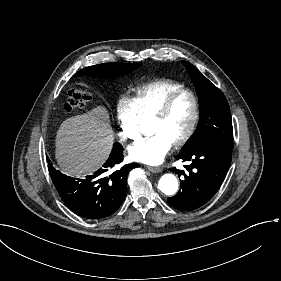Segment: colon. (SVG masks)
Wrapping results in <instances>:
<instances>
[{
  "label": "colon",
  "instance_id": "colon-1",
  "mask_svg": "<svg viewBox=\"0 0 281 281\" xmlns=\"http://www.w3.org/2000/svg\"><path fill=\"white\" fill-rule=\"evenodd\" d=\"M90 99L89 93L78 89H71L64 108L66 111L72 112L78 108L85 107L90 102Z\"/></svg>",
  "mask_w": 281,
  "mask_h": 281
}]
</instances>
